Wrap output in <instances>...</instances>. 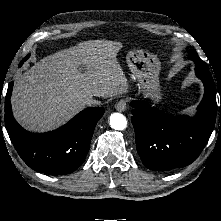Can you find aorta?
Segmentation results:
<instances>
[{"instance_id": "aorta-1", "label": "aorta", "mask_w": 221, "mask_h": 221, "mask_svg": "<svg viewBox=\"0 0 221 221\" xmlns=\"http://www.w3.org/2000/svg\"><path fill=\"white\" fill-rule=\"evenodd\" d=\"M111 128L115 130H124L127 126L126 117L121 113H113L109 118Z\"/></svg>"}]
</instances>
